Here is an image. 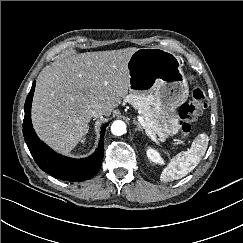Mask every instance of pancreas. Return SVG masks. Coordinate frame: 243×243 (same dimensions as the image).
I'll use <instances>...</instances> for the list:
<instances>
[{
	"label": "pancreas",
	"instance_id": "cf45deb5",
	"mask_svg": "<svg viewBox=\"0 0 243 243\" xmlns=\"http://www.w3.org/2000/svg\"><path fill=\"white\" fill-rule=\"evenodd\" d=\"M126 100L142 113V117L147 124V130L155 137L158 136L159 140L164 141L166 135L154 113L152 97L147 94H130Z\"/></svg>",
	"mask_w": 243,
	"mask_h": 243
}]
</instances>
